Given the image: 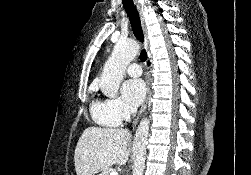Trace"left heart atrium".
Wrapping results in <instances>:
<instances>
[{
  "instance_id": "1",
  "label": "left heart atrium",
  "mask_w": 251,
  "mask_h": 175,
  "mask_svg": "<svg viewBox=\"0 0 251 175\" xmlns=\"http://www.w3.org/2000/svg\"><path fill=\"white\" fill-rule=\"evenodd\" d=\"M145 92V84L140 78L128 79L122 86L123 98L131 107H136L142 102Z\"/></svg>"
}]
</instances>
